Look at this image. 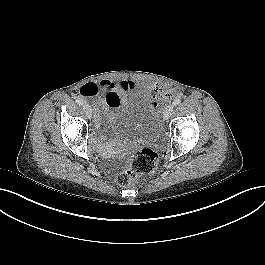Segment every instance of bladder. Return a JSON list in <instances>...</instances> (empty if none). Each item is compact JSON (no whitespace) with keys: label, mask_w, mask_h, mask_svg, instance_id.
Returning <instances> with one entry per match:
<instances>
[{"label":"bladder","mask_w":265,"mask_h":265,"mask_svg":"<svg viewBox=\"0 0 265 265\" xmlns=\"http://www.w3.org/2000/svg\"><path fill=\"white\" fill-rule=\"evenodd\" d=\"M116 126L130 138H152L161 131V115L152 94L141 84L125 93L116 114Z\"/></svg>","instance_id":"1"}]
</instances>
